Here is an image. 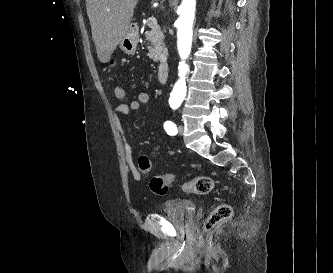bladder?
I'll list each match as a JSON object with an SVG mask.
<instances>
[{"mask_svg":"<svg viewBox=\"0 0 333 273\" xmlns=\"http://www.w3.org/2000/svg\"><path fill=\"white\" fill-rule=\"evenodd\" d=\"M196 208L192 201L174 200L162 209V215L176 227H189L195 220Z\"/></svg>","mask_w":333,"mask_h":273,"instance_id":"1","label":"bladder"}]
</instances>
